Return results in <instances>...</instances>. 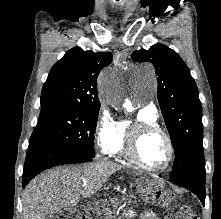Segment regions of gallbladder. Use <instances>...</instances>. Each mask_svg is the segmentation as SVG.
<instances>
[{
	"instance_id": "bac80fb5",
	"label": "gallbladder",
	"mask_w": 221,
	"mask_h": 219,
	"mask_svg": "<svg viewBox=\"0 0 221 219\" xmlns=\"http://www.w3.org/2000/svg\"><path fill=\"white\" fill-rule=\"evenodd\" d=\"M58 216H52V217H48L47 219H57Z\"/></svg>"
}]
</instances>
